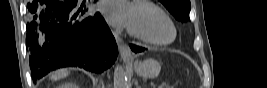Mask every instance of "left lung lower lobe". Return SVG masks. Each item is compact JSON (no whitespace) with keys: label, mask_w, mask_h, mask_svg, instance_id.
Returning <instances> with one entry per match:
<instances>
[{"label":"left lung lower lobe","mask_w":267,"mask_h":88,"mask_svg":"<svg viewBox=\"0 0 267 88\" xmlns=\"http://www.w3.org/2000/svg\"><path fill=\"white\" fill-rule=\"evenodd\" d=\"M130 47H131V50L133 51V52H142V51H144L145 50V48H142V47H138V46H136V45H130Z\"/></svg>","instance_id":"left-lung-lower-lobe-1"}]
</instances>
